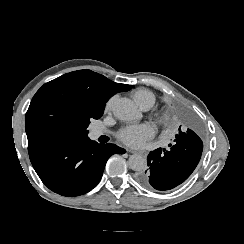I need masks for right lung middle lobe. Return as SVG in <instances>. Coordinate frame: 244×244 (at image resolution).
<instances>
[{
    "instance_id": "right-lung-middle-lobe-1",
    "label": "right lung middle lobe",
    "mask_w": 244,
    "mask_h": 244,
    "mask_svg": "<svg viewBox=\"0 0 244 244\" xmlns=\"http://www.w3.org/2000/svg\"><path fill=\"white\" fill-rule=\"evenodd\" d=\"M105 103L85 90L65 83L42 86L25 117L27 137L85 138L91 119H99Z\"/></svg>"
}]
</instances>
